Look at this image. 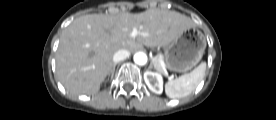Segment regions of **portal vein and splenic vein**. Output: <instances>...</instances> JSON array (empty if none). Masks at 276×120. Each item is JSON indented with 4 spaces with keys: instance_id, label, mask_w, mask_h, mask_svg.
Returning <instances> with one entry per match:
<instances>
[{
    "instance_id": "obj_1",
    "label": "portal vein and splenic vein",
    "mask_w": 276,
    "mask_h": 120,
    "mask_svg": "<svg viewBox=\"0 0 276 120\" xmlns=\"http://www.w3.org/2000/svg\"><path fill=\"white\" fill-rule=\"evenodd\" d=\"M139 34V31L136 29V28H133L131 34H130V37H135ZM157 57H155L156 59Z\"/></svg>"
}]
</instances>
